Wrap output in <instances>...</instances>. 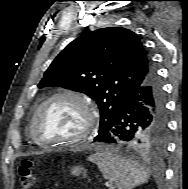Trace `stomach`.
Returning <instances> with one entry per match:
<instances>
[{
    "label": "stomach",
    "instance_id": "0dacf381",
    "mask_svg": "<svg viewBox=\"0 0 188 189\" xmlns=\"http://www.w3.org/2000/svg\"><path fill=\"white\" fill-rule=\"evenodd\" d=\"M82 172H86L83 167L81 166H74L71 168V173L73 175L79 176Z\"/></svg>",
    "mask_w": 188,
    "mask_h": 189
}]
</instances>
